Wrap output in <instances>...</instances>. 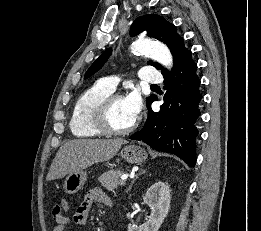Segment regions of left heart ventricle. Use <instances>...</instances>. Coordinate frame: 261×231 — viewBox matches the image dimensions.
<instances>
[{
    "instance_id": "left-heart-ventricle-1",
    "label": "left heart ventricle",
    "mask_w": 261,
    "mask_h": 231,
    "mask_svg": "<svg viewBox=\"0 0 261 231\" xmlns=\"http://www.w3.org/2000/svg\"><path fill=\"white\" fill-rule=\"evenodd\" d=\"M135 119L125 102V98L118 99L114 102L110 112V121L115 128H126L130 126Z\"/></svg>"
}]
</instances>
